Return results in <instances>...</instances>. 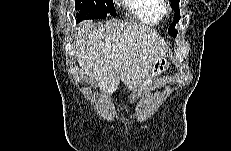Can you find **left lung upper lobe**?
<instances>
[{
	"instance_id": "1",
	"label": "left lung upper lobe",
	"mask_w": 231,
	"mask_h": 151,
	"mask_svg": "<svg viewBox=\"0 0 231 151\" xmlns=\"http://www.w3.org/2000/svg\"><path fill=\"white\" fill-rule=\"evenodd\" d=\"M171 1V7L172 9L175 11V16H174V23H172L168 29V33L173 36L176 37L177 35V30L175 29V25L176 23L180 20V14H179V1L180 0H170Z\"/></svg>"
}]
</instances>
